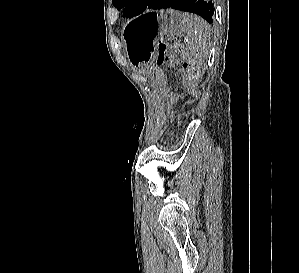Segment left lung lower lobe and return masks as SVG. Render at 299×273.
Returning a JSON list of instances; mask_svg holds the SVG:
<instances>
[{"label": "left lung lower lobe", "mask_w": 299, "mask_h": 273, "mask_svg": "<svg viewBox=\"0 0 299 273\" xmlns=\"http://www.w3.org/2000/svg\"><path fill=\"white\" fill-rule=\"evenodd\" d=\"M173 8L200 15L209 24L213 22V0H150L146 9Z\"/></svg>", "instance_id": "1"}]
</instances>
